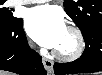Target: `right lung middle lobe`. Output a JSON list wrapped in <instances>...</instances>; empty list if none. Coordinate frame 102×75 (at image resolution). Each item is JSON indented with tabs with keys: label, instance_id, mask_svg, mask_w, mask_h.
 <instances>
[{
	"label": "right lung middle lobe",
	"instance_id": "right-lung-middle-lobe-1",
	"mask_svg": "<svg viewBox=\"0 0 102 75\" xmlns=\"http://www.w3.org/2000/svg\"><path fill=\"white\" fill-rule=\"evenodd\" d=\"M4 2L5 1H0V24H12L18 20V18L13 17L11 11L2 6Z\"/></svg>",
	"mask_w": 102,
	"mask_h": 75
}]
</instances>
